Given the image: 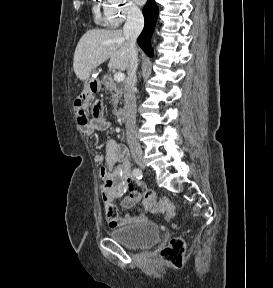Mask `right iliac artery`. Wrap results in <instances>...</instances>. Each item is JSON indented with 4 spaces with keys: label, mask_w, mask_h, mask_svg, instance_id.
<instances>
[{
    "label": "right iliac artery",
    "mask_w": 273,
    "mask_h": 288,
    "mask_svg": "<svg viewBox=\"0 0 273 288\" xmlns=\"http://www.w3.org/2000/svg\"><path fill=\"white\" fill-rule=\"evenodd\" d=\"M133 175L134 177H136L137 179H142L143 175H142V171L139 168H135L133 170Z\"/></svg>",
    "instance_id": "82829eb1"
}]
</instances>
